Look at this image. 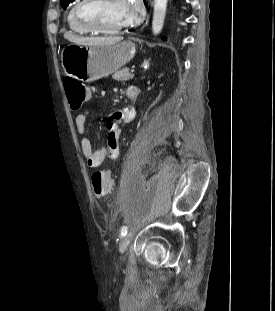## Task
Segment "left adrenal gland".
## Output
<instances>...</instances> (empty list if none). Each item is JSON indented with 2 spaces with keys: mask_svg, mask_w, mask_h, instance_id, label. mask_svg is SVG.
Masks as SVG:
<instances>
[{
  "mask_svg": "<svg viewBox=\"0 0 275 311\" xmlns=\"http://www.w3.org/2000/svg\"><path fill=\"white\" fill-rule=\"evenodd\" d=\"M142 67H144V69H147L149 67V60H144Z\"/></svg>",
  "mask_w": 275,
  "mask_h": 311,
  "instance_id": "left-adrenal-gland-1",
  "label": "left adrenal gland"
}]
</instances>
